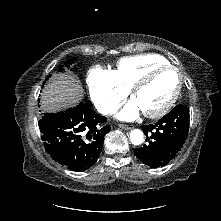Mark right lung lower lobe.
I'll return each instance as SVG.
<instances>
[{"instance_id": "obj_1", "label": "right lung lower lobe", "mask_w": 221, "mask_h": 221, "mask_svg": "<svg viewBox=\"0 0 221 221\" xmlns=\"http://www.w3.org/2000/svg\"><path fill=\"white\" fill-rule=\"evenodd\" d=\"M90 103H80L59 113H44L39 124L45 150L69 170L84 171L93 166L103 147L109 125Z\"/></svg>"}]
</instances>
